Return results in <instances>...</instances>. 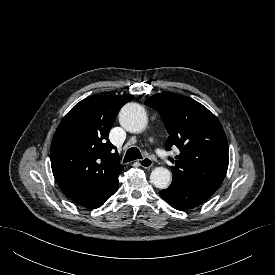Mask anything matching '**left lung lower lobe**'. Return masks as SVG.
I'll list each match as a JSON object with an SVG mask.
<instances>
[{"label": "left lung lower lobe", "instance_id": "obj_1", "mask_svg": "<svg viewBox=\"0 0 275 275\" xmlns=\"http://www.w3.org/2000/svg\"><path fill=\"white\" fill-rule=\"evenodd\" d=\"M214 191L192 182L172 181L159 192L160 196L177 210H187L204 203Z\"/></svg>", "mask_w": 275, "mask_h": 275}]
</instances>
